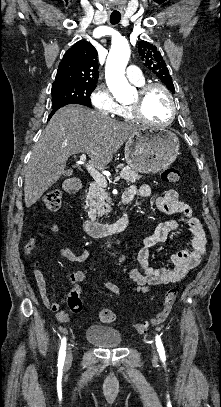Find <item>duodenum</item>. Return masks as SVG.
<instances>
[{
	"label": "duodenum",
	"instance_id": "obj_1",
	"mask_svg": "<svg viewBox=\"0 0 221 407\" xmlns=\"http://www.w3.org/2000/svg\"><path fill=\"white\" fill-rule=\"evenodd\" d=\"M67 190L70 193H77L80 192L83 188V184L81 182L77 183H68L66 185ZM129 203V199L126 197H122V204L124 206L122 216L119 220L113 223H98L91 220H86L84 222V229L87 235L89 236H106L113 233H119L124 230H127L130 225V216L127 209V205Z\"/></svg>",
	"mask_w": 221,
	"mask_h": 407
}]
</instances>
